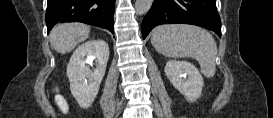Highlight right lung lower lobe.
I'll use <instances>...</instances> for the list:
<instances>
[{"label": "right lung lower lobe", "mask_w": 273, "mask_h": 118, "mask_svg": "<svg viewBox=\"0 0 273 118\" xmlns=\"http://www.w3.org/2000/svg\"><path fill=\"white\" fill-rule=\"evenodd\" d=\"M115 0H48V33L59 22H82L108 29L114 34Z\"/></svg>", "instance_id": "1"}]
</instances>
